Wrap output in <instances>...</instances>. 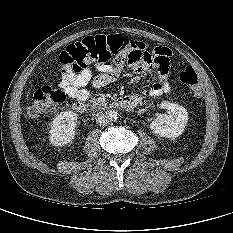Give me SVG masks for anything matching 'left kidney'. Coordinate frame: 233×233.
Segmentation results:
<instances>
[{
    "instance_id": "1",
    "label": "left kidney",
    "mask_w": 233,
    "mask_h": 233,
    "mask_svg": "<svg viewBox=\"0 0 233 233\" xmlns=\"http://www.w3.org/2000/svg\"><path fill=\"white\" fill-rule=\"evenodd\" d=\"M162 109L167 110V113L160 114L150 124V129L156 135L164 138L179 137L188 122L187 110L176 104L170 102H162L160 104Z\"/></svg>"
}]
</instances>
